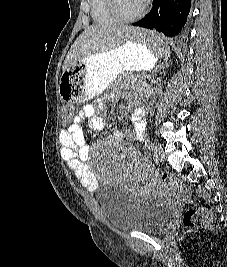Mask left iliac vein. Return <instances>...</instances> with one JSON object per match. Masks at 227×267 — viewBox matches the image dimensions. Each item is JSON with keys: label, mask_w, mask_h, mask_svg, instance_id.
<instances>
[{"label": "left iliac vein", "mask_w": 227, "mask_h": 267, "mask_svg": "<svg viewBox=\"0 0 227 267\" xmlns=\"http://www.w3.org/2000/svg\"><path fill=\"white\" fill-rule=\"evenodd\" d=\"M154 157H155V160L159 163H162L164 162L165 160V154L163 152V149L161 146L159 145H156L155 148H154Z\"/></svg>", "instance_id": "1"}]
</instances>
